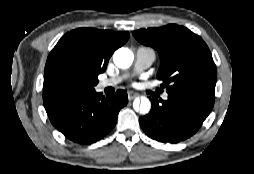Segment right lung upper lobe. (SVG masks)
Returning <instances> with one entry per match:
<instances>
[{"label": "right lung upper lobe", "instance_id": "1", "mask_svg": "<svg viewBox=\"0 0 254 174\" xmlns=\"http://www.w3.org/2000/svg\"><path fill=\"white\" fill-rule=\"evenodd\" d=\"M128 32L78 28L66 33L50 52L44 78L60 66H70L96 75L106 70L113 52L124 45Z\"/></svg>", "mask_w": 254, "mask_h": 174}]
</instances>
